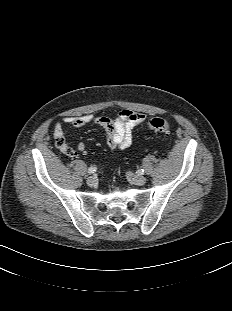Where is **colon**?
Listing matches in <instances>:
<instances>
[{"instance_id": "1", "label": "colon", "mask_w": 232, "mask_h": 311, "mask_svg": "<svg viewBox=\"0 0 232 311\" xmlns=\"http://www.w3.org/2000/svg\"><path fill=\"white\" fill-rule=\"evenodd\" d=\"M148 127L149 129L155 131V132H159V133H163L165 135H170L171 134V126L168 123L167 120H165L164 118L161 117H154L151 118L148 121ZM67 154H72V150L70 148H68Z\"/></svg>"}]
</instances>
